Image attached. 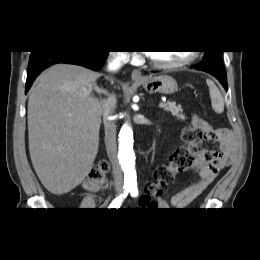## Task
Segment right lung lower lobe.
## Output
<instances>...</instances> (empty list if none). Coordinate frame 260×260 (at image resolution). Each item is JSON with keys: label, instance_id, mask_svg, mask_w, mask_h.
Returning <instances> with one entry per match:
<instances>
[{"label": "right lung lower lobe", "instance_id": "1", "mask_svg": "<svg viewBox=\"0 0 260 260\" xmlns=\"http://www.w3.org/2000/svg\"><path fill=\"white\" fill-rule=\"evenodd\" d=\"M109 51H32L27 71L25 93L28 92L36 77L49 66L56 63H70L81 65L92 70H99Z\"/></svg>", "mask_w": 260, "mask_h": 260}]
</instances>
